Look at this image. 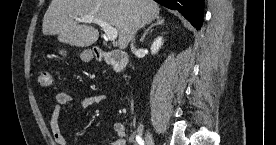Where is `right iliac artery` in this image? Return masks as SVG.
I'll use <instances>...</instances> for the list:
<instances>
[{"label":"right iliac artery","instance_id":"obj_1","mask_svg":"<svg viewBox=\"0 0 276 145\" xmlns=\"http://www.w3.org/2000/svg\"><path fill=\"white\" fill-rule=\"evenodd\" d=\"M136 141L139 145H144V140L139 135L136 136Z\"/></svg>","mask_w":276,"mask_h":145}]
</instances>
